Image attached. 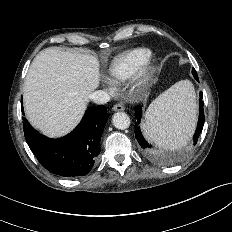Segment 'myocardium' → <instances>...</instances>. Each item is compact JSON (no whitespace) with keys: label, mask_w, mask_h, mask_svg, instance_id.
I'll use <instances>...</instances> for the list:
<instances>
[{"label":"myocardium","mask_w":232,"mask_h":232,"mask_svg":"<svg viewBox=\"0 0 232 232\" xmlns=\"http://www.w3.org/2000/svg\"><path fill=\"white\" fill-rule=\"evenodd\" d=\"M153 71H154V68H153L152 65L146 66V67L142 70V72H141V74H140V80H141V82H142V83H146V82L150 79V77H151Z\"/></svg>","instance_id":"myocardium-1"}]
</instances>
